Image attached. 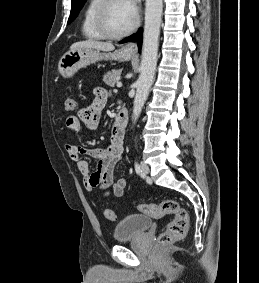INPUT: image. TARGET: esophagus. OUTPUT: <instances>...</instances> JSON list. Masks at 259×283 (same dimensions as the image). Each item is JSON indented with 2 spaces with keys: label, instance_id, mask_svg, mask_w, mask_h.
<instances>
[{
  "label": "esophagus",
  "instance_id": "1",
  "mask_svg": "<svg viewBox=\"0 0 259 283\" xmlns=\"http://www.w3.org/2000/svg\"><path fill=\"white\" fill-rule=\"evenodd\" d=\"M137 44L134 42H129L124 45L123 50L130 54H135L137 52Z\"/></svg>",
  "mask_w": 259,
  "mask_h": 283
}]
</instances>
